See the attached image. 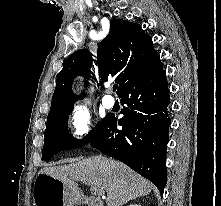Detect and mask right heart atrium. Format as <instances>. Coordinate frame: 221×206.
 <instances>
[{
  "mask_svg": "<svg viewBox=\"0 0 221 206\" xmlns=\"http://www.w3.org/2000/svg\"><path fill=\"white\" fill-rule=\"evenodd\" d=\"M92 126V118L89 109L81 103H76L69 115L70 135L76 140L85 138Z\"/></svg>",
  "mask_w": 221,
  "mask_h": 206,
  "instance_id": "1",
  "label": "right heart atrium"
}]
</instances>
